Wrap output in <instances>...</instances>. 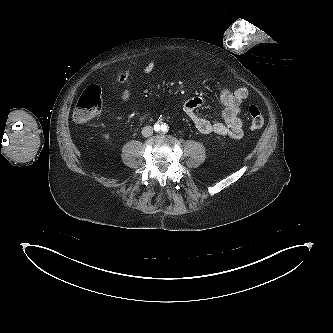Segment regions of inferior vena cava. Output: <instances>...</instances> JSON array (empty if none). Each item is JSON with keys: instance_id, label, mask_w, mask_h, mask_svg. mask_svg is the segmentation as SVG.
Listing matches in <instances>:
<instances>
[{"instance_id": "obj_1", "label": "inferior vena cava", "mask_w": 333, "mask_h": 333, "mask_svg": "<svg viewBox=\"0 0 333 333\" xmlns=\"http://www.w3.org/2000/svg\"><path fill=\"white\" fill-rule=\"evenodd\" d=\"M153 134V128L151 126H145L142 129V135L144 137H150Z\"/></svg>"}]
</instances>
